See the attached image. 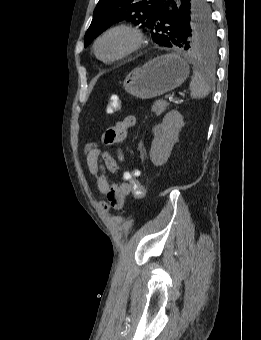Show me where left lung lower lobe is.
Wrapping results in <instances>:
<instances>
[{"instance_id": "obj_1", "label": "left lung lower lobe", "mask_w": 261, "mask_h": 340, "mask_svg": "<svg viewBox=\"0 0 261 340\" xmlns=\"http://www.w3.org/2000/svg\"><path fill=\"white\" fill-rule=\"evenodd\" d=\"M193 3L194 0H166L160 17L175 26L182 16H188L190 14ZM173 44L172 41L171 45Z\"/></svg>"}]
</instances>
